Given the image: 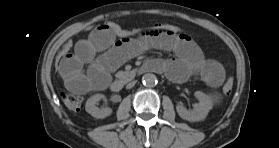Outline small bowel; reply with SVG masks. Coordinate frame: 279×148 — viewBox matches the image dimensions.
<instances>
[{
    "mask_svg": "<svg viewBox=\"0 0 279 148\" xmlns=\"http://www.w3.org/2000/svg\"><path fill=\"white\" fill-rule=\"evenodd\" d=\"M153 49L175 53L176 58L149 61L155 70L166 73L173 81L183 82L191 76H199L209 87L216 88L224 80L223 67L214 60L206 59L188 35L158 32L117 38L100 26L79 40L74 50L61 59L58 73L66 88L73 93L103 90L110 80L111 71Z\"/></svg>",
    "mask_w": 279,
    "mask_h": 148,
    "instance_id": "small-bowel-1",
    "label": "small bowel"
}]
</instances>
